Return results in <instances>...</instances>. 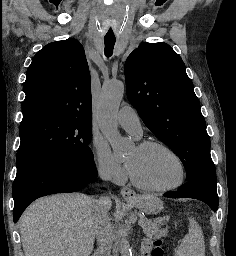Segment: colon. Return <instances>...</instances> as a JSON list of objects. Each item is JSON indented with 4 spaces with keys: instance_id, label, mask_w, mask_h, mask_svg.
<instances>
[{
    "instance_id": "1",
    "label": "colon",
    "mask_w": 236,
    "mask_h": 256,
    "mask_svg": "<svg viewBox=\"0 0 236 256\" xmlns=\"http://www.w3.org/2000/svg\"><path fill=\"white\" fill-rule=\"evenodd\" d=\"M151 256H164L163 241L160 237L154 240V247L151 251Z\"/></svg>"
}]
</instances>
